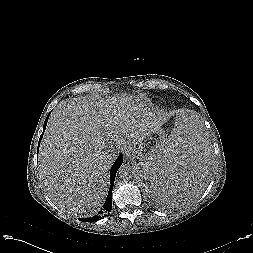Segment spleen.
<instances>
[{
    "instance_id": "obj_1",
    "label": "spleen",
    "mask_w": 253,
    "mask_h": 253,
    "mask_svg": "<svg viewBox=\"0 0 253 253\" xmlns=\"http://www.w3.org/2000/svg\"><path fill=\"white\" fill-rule=\"evenodd\" d=\"M207 135V123L198 113L176 115L153 158L140 170L142 189L164 204L187 200L201 192L214 167Z\"/></svg>"
}]
</instances>
